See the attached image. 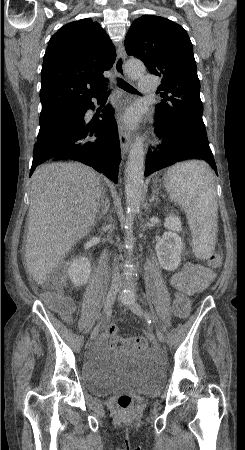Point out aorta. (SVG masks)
Returning a JSON list of instances; mask_svg holds the SVG:
<instances>
[{
    "label": "aorta",
    "instance_id": "aorta-1",
    "mask_svg": "<svg viewBox=\"0 0 245 450\" xmlns=\"http://www.w3.org/2000/svg\"><path fill=\"white\" fill-rule=\"evenodd\" d=\"M125 70L131 79H138L145 73L143 62L130 59L125 64ZM143 139L137 137L131 145L125 172V196L127 206L126 233L129 238L133 234V218L139 210L144 185Z\"/></svg>",
    "mask_w": 245,
    "mask_h": 450
}]
</instances>
